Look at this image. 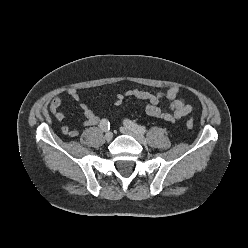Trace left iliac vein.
<instances>
[{
  "mask_svg": "<svg viewBox=\"0 0 248 248\" xmlns=\"http://www.w3.org/2000/svg\"><path fill=\"white\" fill-rule=\"evenodd\" d=\"M120 131L124 134H127V135L134 137L142 145L147 144V140L142 134L133 131L132 129H130L127 126L121 127Z\"/></svg>",
  "mask_w": 248,
  "mask_h": 248,
  "instance_id": "obj_1",
  "label": "left iliac vein"
}]
</instances>
